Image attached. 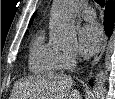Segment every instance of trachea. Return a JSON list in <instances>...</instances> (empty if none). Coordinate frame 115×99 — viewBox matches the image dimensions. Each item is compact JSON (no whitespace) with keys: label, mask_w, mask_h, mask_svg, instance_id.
Here are the masks:
<instances>
[{"label":"trachea","mask_w":115,"mask_h":99,"mask_svg":"<svg viewBox=\"0 0 115 99\" xmlns=\"http://www.w3.org/2000/svg\"><path fill=\"white\" fill-rule=\"evenodd\" d=\"M100 6L104 7V0H95Z\"/></svg>","instance_id":"3493384b"}]
</instances>
